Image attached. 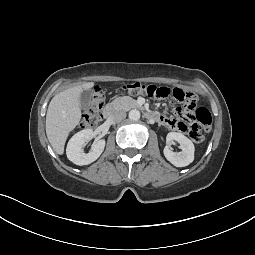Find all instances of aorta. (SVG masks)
<instances>
[{"label":"aorta","mask_w":255,"mask_h":255,"mask_svg":"<svg viewBox=\"0 0 255 255\" xmlns=\"http://www.w3.org/2000/svg\"><path fill=\"white\" fill-rule=\"evenodd\" d=\"M129 118L131 120H134V121L139 120L140 119V112L138 110H131L129 112Z\"/></svg>","instance_id":"obj_1"}]
</instances>
